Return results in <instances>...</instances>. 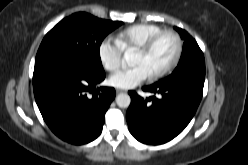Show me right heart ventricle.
I'll return each mask as SVG.
<instances>
[{
    "label": "right heart ventricle",
    "mask_w": 248,
    "mask_h": 165,
    "mask_svg": "<svg viewBox=\"0 0 248 165\" xmlns=\"http://www.w3.org/2000/svg\"><path fill=\"white\" fill-rule=\"evenodd\" d=\"M163 30L162 27L156 24H136L119 31L115 40L123 51L137 50L150 37Z\"/></svg>",
    "instance_id": "e07e8e85"
}]
</instances>
